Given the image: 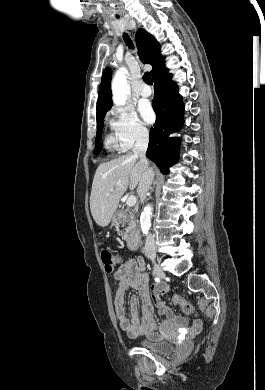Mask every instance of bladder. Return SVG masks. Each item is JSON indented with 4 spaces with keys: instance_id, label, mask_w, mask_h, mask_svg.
I'll list each match as a JSON object with an SVG mask.
<instances>
[{
    "instance_id": "bladder-1",
    "label": "bladder",
    "mask_w": 265,
    "mask_h": 390,
    "mask_svg": "<svg viewBox=\"0 0 265 390\" xmlns=\"http://www.w3.org/2000/svg\"><path fill=\"white\" fill-rule=\"evenodd\" d=\"M138 345L142 348L159 353H169L173 350V344L171 342L162 340L158 337H142L138 340Z\"/></svg>"
}]
</instances>
